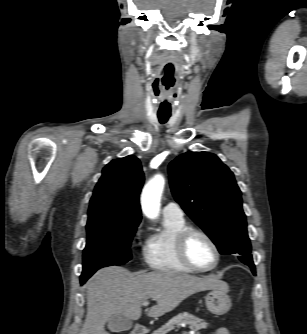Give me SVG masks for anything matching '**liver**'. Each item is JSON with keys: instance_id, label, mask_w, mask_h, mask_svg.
<instances>
[{"instance_id": "1", "label": "liver", "mask_w": 307, "mask_h": 334, "mask_svg": "<svg viewBox=\"0 0 307 334\" xmlns=\"http://www.w3.org/2000/svg\"><path fill=\"white\" fill-rule=\"evenodd\" d=\"M213 275L196 277L175 271L133 274L123 267L111 266L97 271L86 283L87 315L79 334H108L105 323L114 314L131 320L141 317V304L152 298L150 317L175 309L190 295L220 287Z\"/></svg>"}]
</instances>
